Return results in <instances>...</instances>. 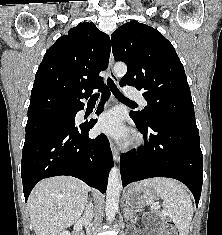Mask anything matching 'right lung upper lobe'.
Masks as SVG:
<instances>
[{
	"mask_svg": "<svg viewBox=\"0 0 222 235\" xmlns=\"http://www.w3.org/2000/svg\"><path fill=\"white\" fill-rule=\"evenodd\" d=\"M111 42L95 24L83 22L61 36L45 53L31 91L28 120L52 116L100 86L98 73L108 66Z\"/></svg>",
	"mask_w": 222,
	"mask_h": 235,
	"instance_id": "right-lung-upper-lobe-1",
	"label": "right lung upper lobe"
}]
</instances>
